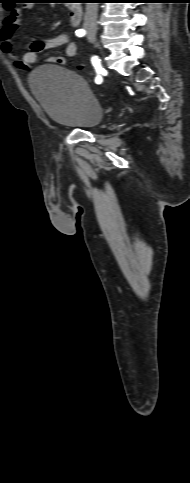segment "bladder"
<instances>
[{"instance_id":"bladder-1","label":"bladder","mask_w":190,"mask_h":483,"mask_svg":"<svg viewBox=\"0 0 190 483\" xmlns=\"http://www.w3.org/2000/svg\"><path fill=\"white\" fill-rule=\"evenodd\" d=\"M35 99L54 121L90 129L104 117L103 108L85 80L71 69L49 64L35 69L29 77Z\"/></svg>"}]
</instances>
